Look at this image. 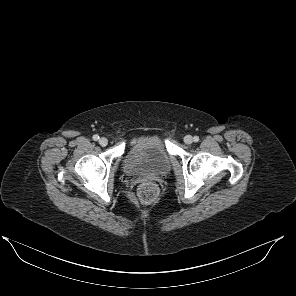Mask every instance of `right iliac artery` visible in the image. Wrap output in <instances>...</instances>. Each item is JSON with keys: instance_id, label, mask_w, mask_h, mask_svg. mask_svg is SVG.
Returning <instances> with one entry per match:
<instances>
[{"instance_id": "82829eb1", "label": "right iliac artery", "mask_w": 296, "mask_h": 296, "mask_svg": "<svg viewBox=\"0 0 296 296\" xmlns=\"http://www.w3.org/2000/svg\"><path fill=\"white\" fill-rule=\"evenodd\" d=\"M99 139V136L97 135V134H95L94 136H93V140L94 141H97Z\"/></svg>"}]
</instances>
